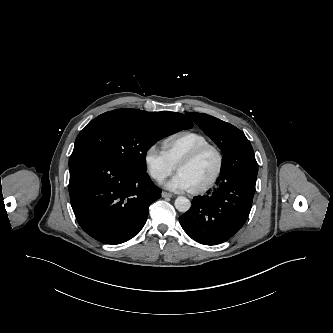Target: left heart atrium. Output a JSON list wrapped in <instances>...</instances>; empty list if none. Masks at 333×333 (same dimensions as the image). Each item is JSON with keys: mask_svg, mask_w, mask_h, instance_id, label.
<instances>
[{"mask_svg": "<svg viewBox=\"0 0 333 333\" xmlns=\"http://www.w3.org/2000/svg\"><path fill=\"white\" fill-rule=\"evenodd\" d=\"M166 187L172 191H191L192 186L186 177L177 173L169 182L166 183Z\"/></svg>", "mask_w": 333, "mask_h": 333, "instance_id": "obj_1", "label": "left heart atrium"}]
</instances>
